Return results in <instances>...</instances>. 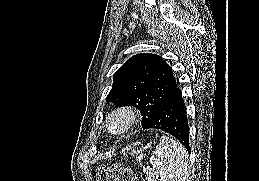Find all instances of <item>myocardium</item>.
<instances>
[{
  "instance_id": "obj_1",
  "label": "myocardium",
  "mask_w": 259,
  "mask_h": 181,
  "mask_svg": "<svg viewBox=\"0 0 259 181\" xmlns=\"http://www.w3.org/2000/svg\"><path fill=\"white\" fill-rule=\"evenodd\" d=\"M137 120L133 107L128 105L114 108L106 118V127L110 134L120 135L127 132Z\"/></svg>"
}]
</instances>
